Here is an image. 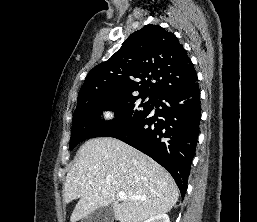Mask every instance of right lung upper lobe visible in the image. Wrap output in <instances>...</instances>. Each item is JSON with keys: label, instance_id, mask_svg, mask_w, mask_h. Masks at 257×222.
<instances>
[{"label": "right lung upper lobe", "instance_id": "1", "mask_svg": "<svg viewBox=\"0 0 257 222\" xmlns=\"http://www.w3.org/2000/svg\"><path fill=\"white\" fill-rule=\"evenodd\" d=\"M196 78L177 37L159 25L149 24L131 34L109 60L88 73L77 104L98 96H132L136 91L154 98ZM151 79L156 82L151 83Z\"/></svg>", "mask_w": 257, "mask_h": 222}]
</instances>
